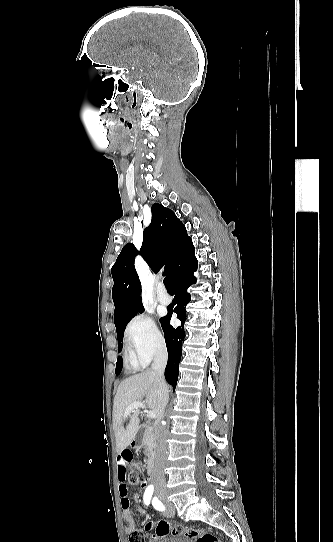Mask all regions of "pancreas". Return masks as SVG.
Listing matches in <instances>:
<instances>
[{
	"label": "pancreas",
	"mask_w": 333,
	"mask_h": 542,
	"mask_svg": "<svg viewBox=\"0 0 333 542\" xmlns=\"http://www.w3.org/2000/svg\"><path fill=\"white\" fill-rule=\"evenodd\" d=\"M147 442H148V444H147V448H146L144 454H145V456H148V458H151V456H153V458H154L155 452H154L153 448H155V446H156V438H155L154 434H153V436H151V438H147Z\"/></svg>",
	"instance_id": "obj_1"
}]
</instances>
